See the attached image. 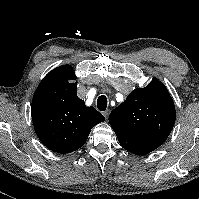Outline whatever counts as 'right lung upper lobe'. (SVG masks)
<instances>
[{
  "label": "right lung upper lobe",
  "instance_id": "obj_1",
  "mask_svg": "<svg viewBox=\"0 0 199 199\" xmlns=\"http://www.w3.org/2000/svg\"><path fill=\"white\" fill-rule=\"evenodd\" d=\"M71 65L50 71L37 87L31 105L32 121L40 141L61 154L82 147L91 129L105 120L94 107L77 96Z\"/></svg>",
  "mask_w": 199,
  "mask_h": 199
}]
</instances>
